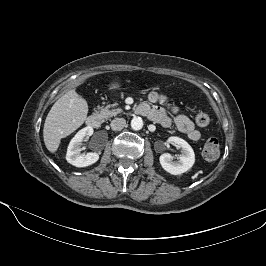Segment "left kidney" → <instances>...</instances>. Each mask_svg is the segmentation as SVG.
Masks as SVG:
<instances>
[{
	"mask_svg": "<svg viewBox=\"0 0 266 266\" xmlns=\"http://www.w3.org/2000/svg\"><path fill=\"white\" fill-rule=\"evenodd\" d=\"M168 142L179 147L182 154L176 162L172 161L173 157L170 154H162L159 158L162 168L172 175H179L188 171L195 162V154L192 147L184 139L179 137H170Z\"/></svg>",
	"mask_w": 266,
	"mask_h": 266,
	"instance_id": "obj_1",
	"label": "left kidney"
}]
</instances>
